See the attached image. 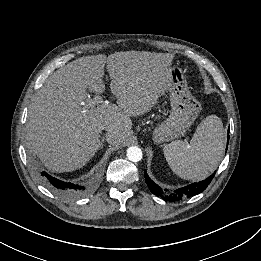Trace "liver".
<instances>
[{
  "instance_id": "obj_1",
  "label": "liver",
  "mask_w": 261,
  "mask_h": 261,
  "mask_svg": "<svg viewBox=\"0 0 261 261\" xmlns=\"http://www.w3.org/2000/svg\"><path fill=\"white\" fill-rule=\"evenodd\" d=\"M173 58V54L132 50L81 57L58 69L29 107L28 148L49 170L70 172L95 155L102 130L109 133V144L124 143L132 128L130 117L150 111L168 89ZM105 65L116 104L90 107L87 90L104 91Z\"/></svg>"
}]
</instances>
